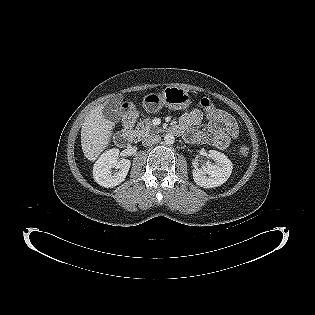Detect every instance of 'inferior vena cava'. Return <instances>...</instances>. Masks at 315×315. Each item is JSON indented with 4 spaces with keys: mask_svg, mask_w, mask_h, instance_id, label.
I'll list each match as a JSON object with an SVG mask.
<instances>
[{
    "mask_svg": "<svg viewBox=\"0 0 315 315\" xmlns=\"http://www.w3.org/2000/svg\"><path fill=\"white\" fill-rule=\"evenodd\" d=\"M161 141V137L157 134H153V135H148L146 136L143 141L142 144L144 146H151L153 144H157Z\"/></svg>",
    "mask_w": 315,
    "mask_h": 315,
    "instance_id": "602c4592",
    "label": "inferior vena cava"
}]
</instances>
